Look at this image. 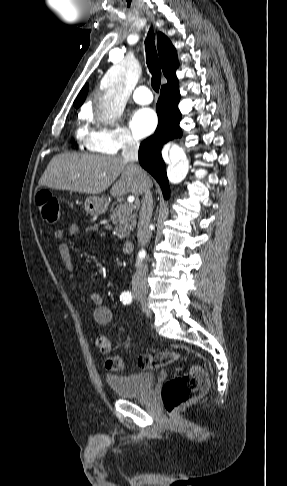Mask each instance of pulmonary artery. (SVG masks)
I'll return each instance as SVG.
<instances>
[{
    "mask_svg": "<svg viewBox=\"0 0 287 486\" xmlns=\"http://www.w3.org/2000/svg\"><path fill=\"white\" fill-rule=\"evenodd\" d=\"M133 99L138 104H149L153 100V96L146 86H139L133 92Z\"/></svg>",
    "mask_w": 287,
    "mask_h": 486,
    "instance_id": "obj_1",
    "label": "pulmonary artery"
}]
</instances>
